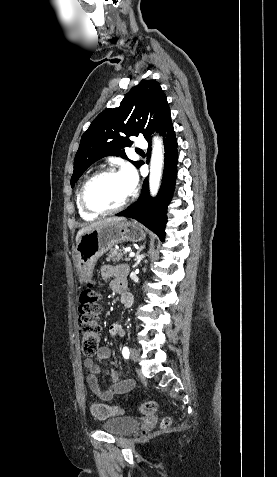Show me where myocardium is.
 Here are the masks:
<instances>
[{
  "mask_svg": "<svg viewBox=\"0 0 277 477\" xmlns=\"http://www.w3.org/2000/svg\"><path fill=\"white\" fill-rule=\"evenodd\" d=\"M117 173H120V171L117 168H114V167L105 168L100 171H97L84 182V184L82 185L79 191V204L85 212L92 215H96V216L109 215V214L117 213L128 206L131 200L130 195H128L126 199L122 203H120L118 206L113 208H107V209H98V208L92 207L87 202V199H86L87 190L95 180L105 175L117 174Z\"/></svg>",
  "mask_w": 277,
  "mask_h": 477,
  "instance_id": "myocardium-1",
  "label": "myocardium"
}]
</instances>
